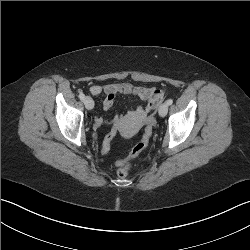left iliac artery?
Masks as SVG:
<instances>
[{"label": "left iliac artery", "instance_id": "1", "mask_svg": "<svg viewBox=\"0 0 250 250\" xmlns=\"http://www.w3.org/2000/svg\"><path fill=\"white\" fill-rule=\"evenodd\" d=\"M168 105H171L173 103V100L172 99H168L167 102H166Z\"/></svg>", "mask_w": 250, "mask_h": 250}]
</instances>
